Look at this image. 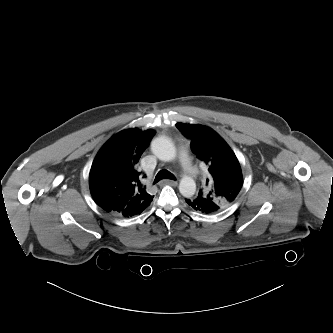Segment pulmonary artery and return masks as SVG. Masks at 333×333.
Wrapping results in <instances>:
<instances>
[{"label":"pulmonary artery","instance_id":"pulmonary-artery-1","mask_svg":"<svg viewBox=\"0 0 333 333\" xmlns=\"http://www.w3.org/2000/svg\"><path fill=\"white\" fill-rule=\"evenodd\" d=\"M180 161H181V164L183 166V168L190 174H192L193 176L195 175L194 173V169L192 168L190 162H189V159H188V156L186 154V152L184 150H181L180 152Z\"/></svg>","mask_w":333,"mask_h":333}]
</instances>
